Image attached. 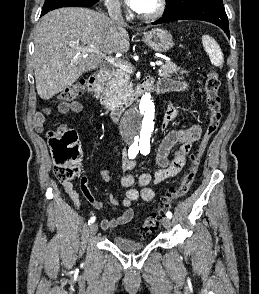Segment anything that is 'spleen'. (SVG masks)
<instances>
[{"label":"spleen","instance_id":"1","mask_svg":"<svg viewBox=\"0 0 259 294\" xmlns=\"http://www.w3.org/2000/svg\"><path fill=\"white\" fill-rule=\"evenodd\" d=\"M202 43L211 63L216 67H222L224 63V57L221 48L215 39L209 35H203Z\"/></svg>","mask_w":259,"mask_h":294}]
</instances>
